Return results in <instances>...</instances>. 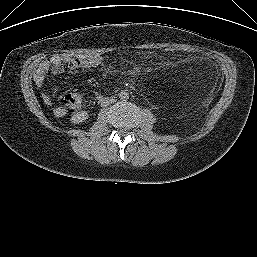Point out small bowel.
<instances>
[{
    "mask_svg": "<svg viewBox=\"0 0 257 257\" xmlns=\"http://www.w3.org/2000/svg\"><path fill=\"white\" fill-rule=\"evenodd\" d=\"M102 57L95 53L80 55H54L48 60L40 63L34 73V81L38 86H42L48 72L59 75L64 71V65L71 69H88L99 66L102 63ZM43 101L46 105L53 107V113L60 118L66 115L67 109L62 106H54L51 98L46 94H42Z\"/></svg>",
    "mask_w": 257,
    "mask_h": 257,
    "instance_id": "small-bowel-1",
    "label": "small bowel"
}]
</instances>
